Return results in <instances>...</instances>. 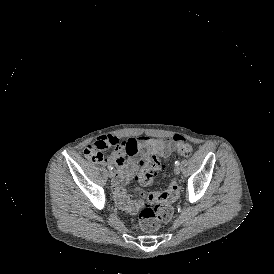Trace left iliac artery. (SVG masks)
Instances as JSON below:
<instances>
[{
  "label": "left iliac artery",
  "instance_id": "obj_1",
  "mask_svg": "<svg viewBox=\"0 0 274 274\" xmlns=\"http://www.w3.org/2000/svg\"><path fill=\"white\" fill-rule=\"evenodd\" d=\"M180 162L179 161H175V166H179Z\"/></svg>",
  "mask_w": 274,
  "mask_h": 274
}]
</instances>
